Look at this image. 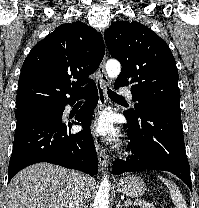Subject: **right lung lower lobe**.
<instances>
[{
	"label": "right lung lower lobe",
	"mask_w": 199,
	"mask_h": 208,
	"mask_svg": "<svg viewBox=\"0 0 199 208\" xmlns=\"http://www.w3.org/2000/svg\"><path fill=\"white\" fill-rule=\"evenodd\" d=\"M86 102L76 115L84 129L72 134L74 122L62 121L66 104L56 107V116H31L17 120L13 151L8 167V183L21 169L39 162H49L81 170L91 176L98 172V159L90 133L92 113L98 103L95 83L85 92Z\"/></svg>",
	"instance_id": "obj_1"
}]
</instances>
